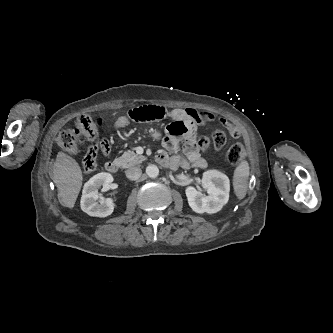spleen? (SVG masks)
Masks as SVG:
<instances>
[{
  "label": "spleen",
  "mask_w": 333,
  "mask_h": 333,
  "mask_svg": "<svg viewBox=\"0 0 333 333\" xmlns=\"http://www.w3.org/2000/svg\"><path fill=\"white\" fill-rule=\"evenodd\" d=\"M249 177V164L242 161L235 169L233 176L234 192L238 199H243L247 193Z\"/></svg>",
  "instance_id": "spleen-1"
}]
</instances>
